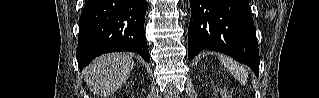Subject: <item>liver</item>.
I'll use <instances>...</instances> for the list:
<instances>
[{"label": "liver", "mask_w": 319, "mask_h": 98, "mask_svg": "<svg viewBox=\"0 0 319 98\" xmlns=\"http://www.w3.org/2000/svg\"><path fill=\"white\" fill-rule=\"evenodd\" d=\"M132 56L106 54L96 58L86 69L85 81L91 92L107 98L126 83L133 69Z\"/></svg>", "instance_id": "6515ba94"}]
</instances>
